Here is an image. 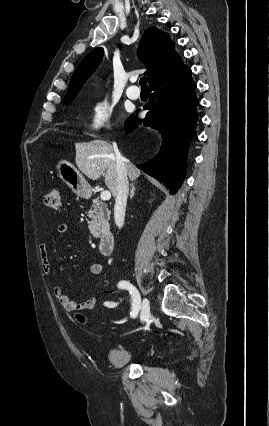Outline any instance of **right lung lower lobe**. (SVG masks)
<instances>
[{"label": "right lung lower lobe", "instance_id": "98d812e1", "mask_svg": "<svg viewBox=\"0 0 269 426\" xmlns=\"http://www.w3.org/2000/svg\"><path fill=\"white\" fill-rule=\"evenodd\" d=\"M195 89L191 70L184 65L177 72L149 86L150 100L144 106L149 111L143 120L131 115L125 122L127 133L140 123L160 132L162 144L159 153L138 167L163 182L172 194L184 180L187 149L196 134V107L199 101Z\"/></svg>", "mask_w": 269, "mask_h": 426}]
</instances>
